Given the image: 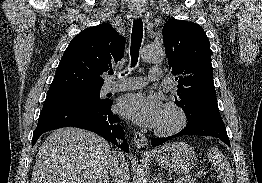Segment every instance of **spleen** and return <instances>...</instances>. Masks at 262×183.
<instances>
[{"instance_id":"obj_1","label":"spleen","mask_w":262,"mask_h":183,"mask_svg":"<svg viewBox=\"0 0 262 183\" xmlns=\"http://www.w3.org/2000/svg\"><path fill=\"white\" fill-rule=\"evenodd\" d=\"M207 158L216 169L217 180L221 183H233L234 174L225 156L216 148L208 149Z\"/></svg>"}]
</instances>
